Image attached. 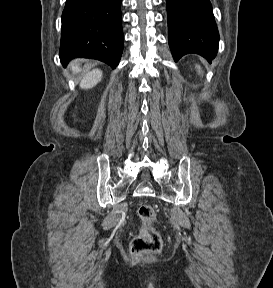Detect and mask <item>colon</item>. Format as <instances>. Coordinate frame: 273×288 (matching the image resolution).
I'll use <instances>...</instances> for the list:
<instances>
[{"label": "colon", "instance_id": "obj_1", "mask_svg": "<svg viewBox=\"0 0 273 288\" xmlns=\"http://www.w3.org/2000/svg\"><path fill=\"white\" fill-rule=\"evenodd\" d=\"M140 219L139 234L132 240L130 245L131 261L135 262L146 254L158 253L162 249V239L156 231V212L148 204H142L138 208Z\"/></svg>", "mask_w": 273, "mask_h": 288}]
</instances>
